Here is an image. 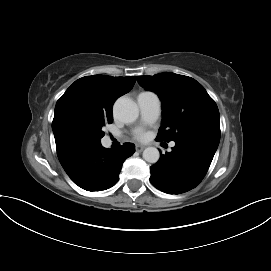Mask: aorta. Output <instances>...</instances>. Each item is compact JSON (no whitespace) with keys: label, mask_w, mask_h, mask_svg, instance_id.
I'll return each mask as SVG.
<instances>
[{"label":"aorta","mask_w":271,"mask_h":271,"mask_svg":"<svg viewBox=\"0 0 271 271\" xmlns=\"http://www.w3.org/2000/svg\"><path fill=\"white\" fill-rule=\"evenodd\" d=\"M113 112L115 117L123 123H132L139 115L137 104L126 97H121L115 102ZM159 157L160 153L155 147H147L143 151V159L149 163H156Z\"/></svg>","instance_id":"762f6f07"}]
</instances>
